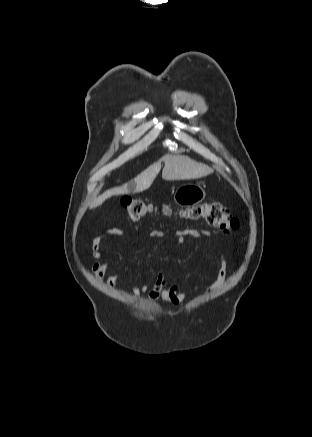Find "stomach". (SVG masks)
Listing matches in <instances>:
<instances>
[{
	"mask_svg": "<svg viewBox=\"0 0 312 437\" xmlns=\"http://www.w3.org/2000/svg\"><path fill=\"white\" fill-rule=\"evenodd\" d=\"M205 190L199 184L187 183L179 186L174 193V201L181 207H190L204 200Z\"/></svg>",
	"mask_w": 312,
	"mask_h": 437,
	"instance_id": "0dacf381",
	"label": "stomach"
}]
</instances>
